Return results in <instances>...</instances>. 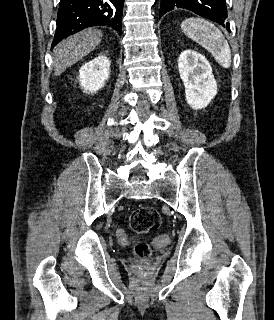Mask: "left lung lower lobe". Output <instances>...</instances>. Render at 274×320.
Listing matches in <instances>:
<instances>
[{"instance_id": "0a47b994", "label": "left lung lower lobe", "mask_w": 274, "mask_h": 320, "mask_svg": "<svg viewBox=\"0 0 274 320\" xmlns=\"http://www.w3.org/2000/svg\"><path fill=\"white\" fill-rule=\"evenodd\" d=\"M175 8H184L196 14L218 22L230 31L227 19V7L225 0H161L159 16Z\"/></svg>"}]
</instances>
